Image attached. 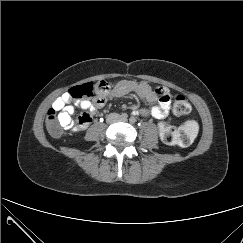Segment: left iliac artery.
I'll use <instances>...</instances> for the list:
<instances>
[{
  "label": "left iliac artery",
  "mask_w": 243,
  "mask_h": 243,
  "mask_svg": "<svg viewBox=\"0 0 243 243\" xmlns=\"http://www.w3.org/2000/svg\"><path fill=\"white\" fill-rule=\"evenodd\" d=\"M129 121H130V123L134 124V123L136 122V119H135L134 117H131V118L129 119Z\"/></svg>",
  "instance_id": "left-iliac-artery-1"
}]
</instances>
